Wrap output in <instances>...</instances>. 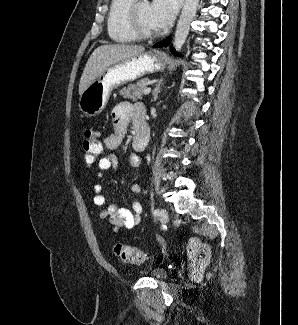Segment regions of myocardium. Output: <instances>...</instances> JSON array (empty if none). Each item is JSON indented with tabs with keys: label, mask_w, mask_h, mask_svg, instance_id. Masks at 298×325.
<instances>
[{
	"label": "myocardium",
	"mask_w": 298,
	"mask_h": 325,
	"mask_svg": "<svg viewBox=\"0 0 298 325\" xmlns=\"http://www.w3.org/2000/svg\"><path fill=\"white\" fill-rule=\"evenodd\" d=\"M148 0H130L126 6L125 14L123 18L124 29L134 39L140 41L153 40L162 35L161 32L148 33L140 29L137 21V11L140 5Z\"/></svg>",
	"instance_id": "1"
}]
</instances>
